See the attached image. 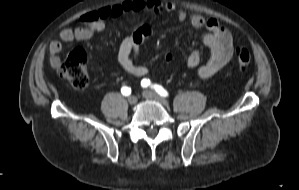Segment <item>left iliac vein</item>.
I'll list each match as a JSON object with an SVG mask.
<instances>
[{
  "label": "left iliac vein",
  "instance_id": "1",
  "mask_svg": "<svg viewBox=\"0 0 299 190\" xmlns=\"http://www.w3.org/2000/svg\"><path fill=\"white\" fill-rule=\"evenodd\" d=\"M142 95L146 99L155 100V101H157V102H159V103H161L162 105H165V106L168 105V102L164 98H162L161 96H159L158 94H156L153 91L145 90V91H143Z\"/></svg>",
  "mask_w": 299,
  "mask_h": 190
}]
</instances>
